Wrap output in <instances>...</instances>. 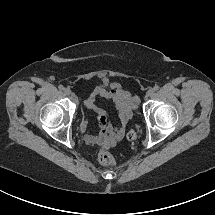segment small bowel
<instances>
[{"mask_svg":"<svg viewBox=\"0 0 215 215\" xmlns=\"http://www.w3.org/2000/svg\"><path fill=\"white\" fill-rule=\"evenodd\" d=\"M97 98L111 101L120 115V125L112 132H107V113L97 105ZM138 98L125 90L118 83H103L95 88L93 93L85 100V105L97 116L98 132L87 133L89 121L81 122L79 130L84 135V141L90 146H110L122 138L126 125L138 106Z\"/></svg>","mask_w":215,"mask_h":215,"instance_id":"small-bowel-1","label":"small bowel"}]
</instances>
